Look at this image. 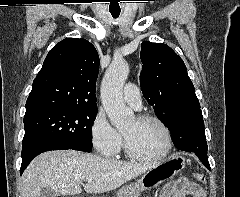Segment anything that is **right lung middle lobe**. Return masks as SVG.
<instances>
[{
	"label": "right lung middle lobe",
	"instance_id": "dd1d6c3e",
	"mask_svg": "<svg viewBox=\"0 0 240 197\" xmlns=\"http://www.w3.org/2000/svg\"><path fill=\"white\" fill-rule=\"evenodd\" d=\"M97 108L43 107L27 111L22 151L28 147L58 144L69 149L91 152V127Z\"/></svg>",
	"mask_w": 240,
	"mask_h": 197
}]
</instances>
